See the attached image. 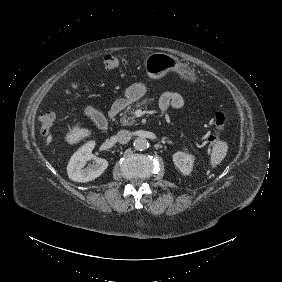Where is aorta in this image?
I'll return each instance as SVG.
<instances>
[{
	"label": "aorta",
	"instance_id": "obj_1",
	"mask_svg": "<svg viewBox=\"0 0 282 282\" xmlns=\"http://www.w3.org/2000/svg\"><path fill=\"white\" fill-rule=\"evenodd\" d=\"M134 147L138 151H144L149 147V142L146 138L138 137L134 140Z\"/></svg>",
	"mask_w": 282,
	"mask_h": 282
}]
</instances>
